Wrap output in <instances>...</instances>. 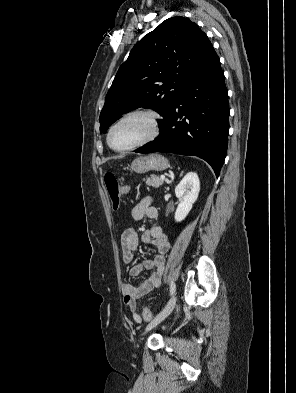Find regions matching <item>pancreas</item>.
Masks as SVG:
<instances>
[{"label": "pancreas", "instance_id": "cf45deb5", "mask_svg": "<svg viewBox=\"0 0 296 393\" xmlns=\"http://www.w3.org/2000/svg\"><path fill=\"white\" fill-rule=\"evenodd\" d=\"M145 182L148 186H152L154 188H158L159 186H161L164 183V180H162L161 178L157 177L156 175H152L149 178L145 179Z\"/></svg>", "mask_w": 296, "mask_h": 393}]
</instances>
